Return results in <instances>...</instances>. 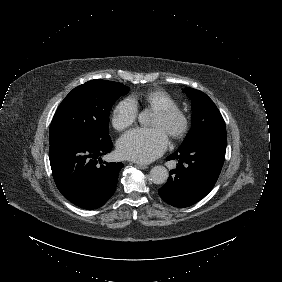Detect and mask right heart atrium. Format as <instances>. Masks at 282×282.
I'll return each mask as SVG.
<instances>
[{
    "instance_id": "obj_1",
    "label": "right heart atrium",
    "mask_w": 282,
    "mask_h": 282,
    "mask_svg": "<svg viewBox=\"0 0 282 282\" xmlns=\"http://www.w3.org/2000/svg\"><path fill=\"white\" fill-rule=\"evenodd\" d=\"M137 118V110L128 101L119 104L113 113L112 123L117 130L132 125Z\"/></svg>"
}]
</instances>
